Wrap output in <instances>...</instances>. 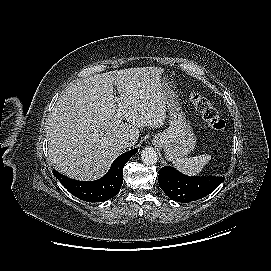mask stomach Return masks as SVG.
Masks as SVG:
<instances>
[{"mask_svg": "<svg viewBox=\"0 0 271 271\" xmlns=\"http://www.w3.org/2000/svg\"><path fill=\"white\" fill-rule=\"evenodd\" d=\"M162 83L169 112V126L163 132L155 134L152 143L163 148L166 159L173 161L185 157L193 151L196 136L182 109L172 81H169L163 74Z\"/></svg>", "mask_w": 271, "mask_h": 271, "instance_id": "obj_1", "label": "stomach"}]
</instances>
